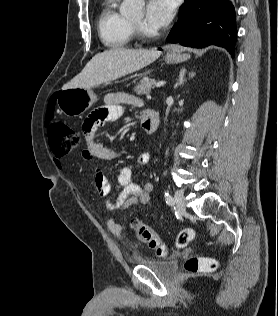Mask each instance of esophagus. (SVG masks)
I'll return each mask as SVG.
<instances>
[{
    "label": "esophagus",
    "instance_id": "esophagus-1",
    "mask_svg": "<svg viewBox=\"0 0 278 316\" xmlns=\"http://www.w3.org/2000/svg\"><path fill=\"white\" fill-rule=\"evenodd\" d=\"M175 52H176L175 47H170V48L168 49V53H169V54H173V53H175Z\"/></svg>",
    "mask_w": 278,
    "mask_h": 316
}]
</instances>
